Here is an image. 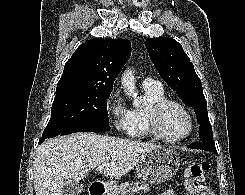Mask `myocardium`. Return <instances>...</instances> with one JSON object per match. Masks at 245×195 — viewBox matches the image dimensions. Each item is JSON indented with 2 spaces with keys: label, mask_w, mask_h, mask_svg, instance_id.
Returning <instances> with one entry per match:
<instances>
[{
  "label": "myocardium",
  "mask_w": 245,
  "mask_h": 195,
  "mask_svg": "<svg viewBox=\"0 0 245 195\" xmlns=\"http://www.w3.org/2000/svg\"><path fill=\"white\" fill-rule=\"evenodd\" d=\"M170 105H176L180 107L186 113L188 117V122H189L188 130L182 136L170 137V136H167L161 130V127H160L161 115L163 111ZM194 123H195L194 117L190 109L184 103L176 99L165 98L163 100H160L157 103L150 106L147 112V125H148L150 134H152L154 137L162 141H165V142L175 143V142H181L187 139L194 130Z\"/></svg>",
  "instance_id": "myocardium-1"
}]
</instances>
